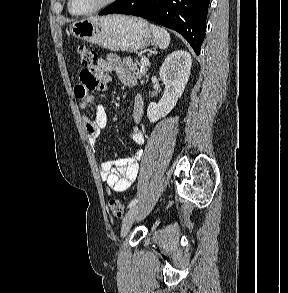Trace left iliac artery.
<instances>
[{"instance_id":"left-iliac-artery-1","label":"left iliac artery","mask_w":288,"mask_h":293,"mask_svg":"<svg viewBox=\"0 0 288 293\" xmlns=\"http://www.w3.org/2000/svg\"><path fill=\"white\" fill-rule=\"evenodd\" d=\"M137 201H138V200H137L136 198L133 199V200L129 203L128 207H129V208H132L133 206L136 205Z\"/></svg>"}]
</instances>
